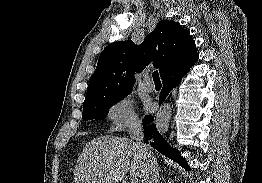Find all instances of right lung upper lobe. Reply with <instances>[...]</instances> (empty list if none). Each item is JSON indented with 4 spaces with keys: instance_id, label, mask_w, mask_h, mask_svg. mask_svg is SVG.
<instances>
[{
    "instance_id": "cb5924a9",
    "label": "right lung upper lobe",
    "mask_w": 262,
    "mask_h": 183,
    "mask_svg": "<svg viewBox=\"0 0 262 183\" xmlns=\"http://www.w3.org/2000/svg\"><path fill=\"white\" fill-rule=\"evenodd\" d=\"M199 58L189 30L178 22L161 20L140 44L131 40L114 42L100 54L84 103L132 90L135 71L150 63L162 79L192 67Z\"/></svg>"
}]
</instances>
